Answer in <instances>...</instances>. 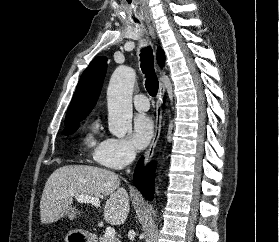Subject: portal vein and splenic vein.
<instances>
[{
    "instance_id": "obj_1",
    "label": "portal vein and splenic vein",
    "mask_w": 279,
    "mask_h": 242,
    "mask_svg": "<svg viewBox=\"0 0 279 242\" xmlns=\"http://www.w3.org/2000/svg\"><path fill=\"white\" fill-rule=\"evenodd\" d=\"M75 199L81 203H91L92 205H94L96 207L100 206V201H99L98 197L78 195V196H75ZM115 234H116V231L113 227L106 228L105 235L108 238H111V239L115 238Z\"/></svg>"
}]
</instances>
